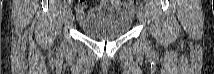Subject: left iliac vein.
<instances>
[{
	"label": "left iliac vein",
	"instance_id": "left-iliac-vein-1",
	"mask_svg": "<svg viewBox=\"0 0 214 74\" xmlns=\"http://www.w3.org/2000/svg\"><path fill=\"white\" fill-rule=\"evenodd\" d=\"M137 18L140 20V21H142L143 20V18H144V11L143 10H138L137 11Z\"/></svg>",
	"mask_w": 214,
	"mask_h": 74
}]
</instances>
